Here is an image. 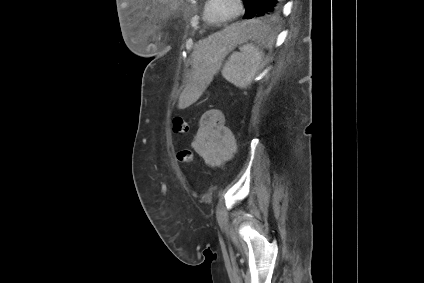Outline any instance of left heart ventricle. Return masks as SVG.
I'll return each instance as SVG.
<instances>
[{
    "label": "left heart ventricle",
    "mask_w": 424,
    "mask_h": 283,
    "mask_svg": "<svg viewBox=\"0 0 424 283\" xmlns=\"http://www.w3.org/2000/svg\"><path fill=\"white\" fill-rule=\"evenodd\" d=\"M234 10L233 0H214L209 12L212 18H222L231 15Z\"/></svg>",
    "instance_id": "b2bd125f"
}]
</instances>
